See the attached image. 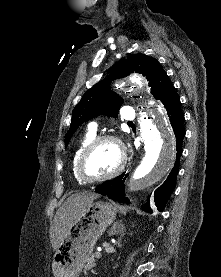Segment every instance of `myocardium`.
Wrapping results in <instances>:
<instances>
[{
  "label": "myocardium",
  "instance_id": "obj_1",
  "mask_svg": "<svg viewBox=\"0 0 221 277\" xmlns=\"http://www.w3.org/2000/svg\"><path fill=\"white\" fill-rule=\"evenodd\" d=\"M104 142H112L114 143L118 149H119V153H120V161L119 164L117 165V167L111 171L110 173L100 176V177H89L85 174L83 166H84V162L87 158V156L101 143ZM127 162V155H126V149L124 147V144L122 143V141L114 136V135H101V136H97L95 137L89 144L86 145V147L82 150V152L80 153L77 163H76V172L78 177L86 183H98V182H103L109 179H112L114 177H116L118 174H120L122 172V170L124 169L125 165Z\"/></svg>",
  "mask_w": 221,
  "mask_h": 277
}]
</instances>
